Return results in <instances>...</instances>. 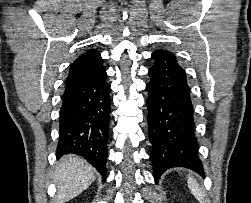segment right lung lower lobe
Segmentation results:
<instances>
[{"instance_id": "right-lung-lower-lobe-1", "label": "right lung lower lobe", "mask_w": 251, "mask_h": 203, "mask_svg": "<svg viewBox=\"0 0 251 203\" xmlns=\"http://www.w3.org/2000/svg\"><path fill=\"white\" fill-rule=\"evenodd\" d=\"M103 66L70 85L62 96L57 155L84 157L106 178L110 120V86Z\"/></svg>"}]
</instances>
